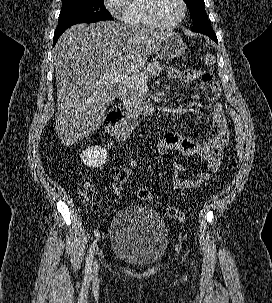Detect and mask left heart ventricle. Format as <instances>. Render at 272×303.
<instances>
[{"label": "left heart ventricle", "mask_w": 272, "mask_h": 303, "mask_svg": "<svg viewBox=\"0 0 272 303\" xmlns=\"http://www.w3.org/2000/svg\"><path fill=\"white\" fill-rule=\"evenodd\" d=\"M181 5L178 0H158L156 14L164 24H171L181 16Z\"/></svg>", "instance_id": "b2bd125f"}]
</instances>
